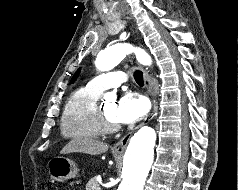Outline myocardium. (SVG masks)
Masks as SVG:
<instances>
[{"mask_svg": "<svg viewBox=\"0 0 238 190\" xmlns=\"http://www.w3.org/2000/svg\"><path fill=\"white\" fill-rule=\"evenodd\" d=\"M97 121L102 132L104 133H115L121 128L118 122L111 121L106 116V114L102 110V107H97Z\"/></svg>", "mask_w": 238, "mask_h": 190, "instance_id": "obj_1", "label": "myocardium"}]
</instances>
